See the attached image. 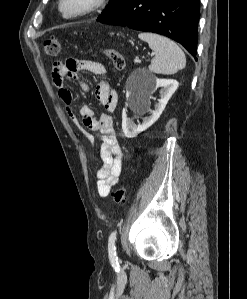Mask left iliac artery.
I'll use <instances>...</instances> for the list:
<instances>
[{
	"label": "left iliac artery",
	"mask_w": 247,
	"mask_h": 299,
	"mask_svg": "<svg viewBox=\"0 0 247 299\" xmlns=\"http://www.w3.org/2000/svg\"><path fill=\"white\" fill-rule=\"evenodd\" d=\"M116 235H117V231L112 232L108 240L109 259L113 265L118 264L117 262L118 258L116 255V247H115Z\"/></svg>",
	"instance_id": "obj_1"
}]
</instances>
